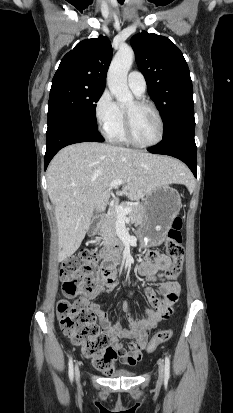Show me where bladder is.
<instances>
[{
  "label": "bladder",
  "instance_id": "1",
  "mask_svg": "<svg viewBox=\"0 0 233 413\" xmlns=\"http://www.w3.org/2000/svg\"><path fill=\"white\" fill-rule=\"evenodd\" d=\"M136 375L135 372L127 370H118L110 375L111 378H130Z\"/></svg>",
  "mask_w": 233,
  "mask_h": 413
}]
</instances>
